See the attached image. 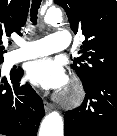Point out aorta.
Segmentation results:
<instances>
[{
  "label": "aorta",
  "mask_w": 117,
  "mask_h": 136,
  "mask_svg": "<svg viewBox=\"0 0 117 136\" xmlns=\"http://www.w3.org/2000/svg\"><path fill=\"white\" fill-rule=\"evenodd\" d=\"M45 22L49 24L61 23L62 12L57 8H50L45 17ZM64 123L63 118L58 111H53L46 115L41 122L38 136H63Z\"/></svg>",
  "instance_id": "obj_1"
}]
</instances>
